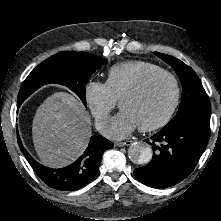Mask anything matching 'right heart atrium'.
<instances>
[{
  "label": "right heart atrium",
  "mask_w": 221,
  "mask_h": 221,
  "mask_svg": "<svg viewBox=\"0 0 221 221\" xmlns=\"http://www.w3.org/2000/svg\"><path fill=\"white\" fill-rule=\"evenodd\" d=\"M84 99L97 121L107 117L115 106L113 96L106 82L89 79L83 88Z\"/></svg>",
  "instance_id": "right-heart-atrium-1"
}]
</instances>
